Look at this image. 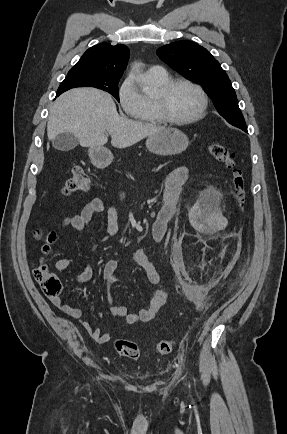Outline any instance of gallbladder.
<instances>
[{
    "label": "gallbladder",
    "instance_id": "bac80fb5",
    "mask_svg": "<svg viewBox=\"0 0 287 434\" xmlns=\"http://www.w3.org/2000/svg\"><path fill=\"white\" fill-rule=\"evenodd\" d=\"M53 147L60 151H69L74 149L78 144L79 140L71 133H62L57 135L53 139Z\"/></svg>",
    "mask_w": 287,
    "mask_h": 434
}]
</instances>
